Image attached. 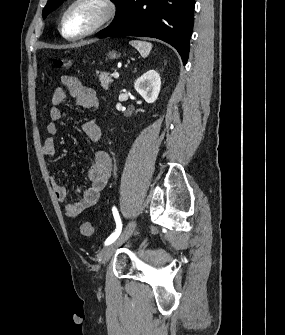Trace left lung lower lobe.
Masks as SVG:
<instances>
[{
  "label": "left lung lower lobe",
  "instance_id": "left-lung-lower-lobe-1",
  "mask_svg": "<svg viewBox=\"0 0 285 335\" xmlns=\"http://www.w3.org/2000/svg\"><path fill=\"white\" fill-rule=\"evenodd\" d=\"M195 0H122L99 38L153 37L172 45L185 65L193 30Z\"/></svg>",
  "mask_w": 285,
  "mask_h": 335
}]
</instances>
